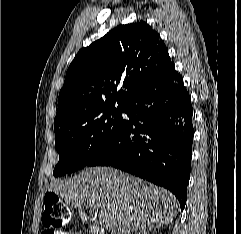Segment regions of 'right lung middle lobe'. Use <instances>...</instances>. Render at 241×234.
I'll list each match as a JSON object with an SVG mask.
<instances>
[{
    "instance_id": "right-lung-middle-lobe-1",
    "label": "right lung middle lobe",
    "mask_w": 241,
    "mask_h": 234,
    "mask_svg": "<svg viewBox=\"0 0 241 234\" xmlns=\"http://www.w3.org/2000/svg\"><path fill=\"white\" fill-rule=\"evenodd\" d=\"M125 109L126 104H106L91 110L76 123L55 131L59 162L53 175L59 177L88 166L111 140Z\"/></svg>"
}]
</instances>
